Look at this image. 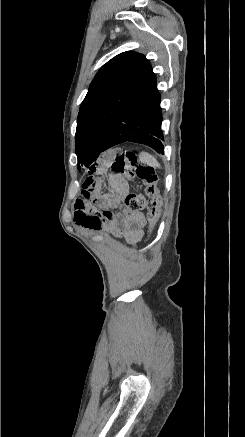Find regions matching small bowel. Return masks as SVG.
Here are the masks:
<instances>
[{"label": "small bowel", "mask_w": 245, "mask_h": 437, "mask_svg": "<svg viewBox=\"0 0 245 437\" xmlns=\"http://www.w3.org/2000/svg\"><path fill=\"white\" fill-rule=\"evenodd\" d=\"M115 161V156L111 150H104L100 154L97 166H90L86 173L83 184V194L90 201L93 207L102 205V200L94 196V192H99L101 186L96 180H101L104 171H109ZM109 185L114 194L122 197L127 193L128 187L124 179L120 176H112ZM115 205V201L110 199L107 203L108 208L99 214H90L89 206L85 200H77L74 207V220L91 231H99L105 228L113 233L115 237L123 238L131 246H135L143 237L145 217L141 212H119L114 213L109 208Z\"/></svg>", "instance_id": "small-bowel-1"}]
</instances>
